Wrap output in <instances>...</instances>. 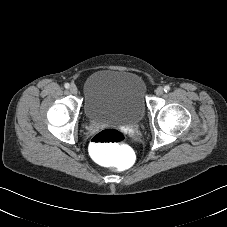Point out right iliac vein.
I'll return each instance as SVG.
<instances>
[{"instance_id":"right-iliac-vein-1","label":"right iliac vein","mask_w":227,"mask_h":227,"mask_svg":"<svg viewBox=\"0 0 227 227\" xmlns=\"http://www.w3.org/2000/svg\"><path fill=\"white\" fill-rule=\"evenodd\" d=\"M71 94L76 95L78 93V89L75 85H71L69 88Z\"/></svg>"}]
</instances>
